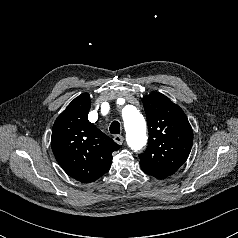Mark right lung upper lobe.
<instances>
[{
	"label": "right lung upper lobe",
	"mask_w": 238,
	"mask_h": 238,
	"mask_svg": "<svg viewBox=\"0 0 238 238\" xmlns=\"http://www.w3.org/2000/svg\"><path fill=\"white\" fill-rule=\"evenodd\" d=\"M90 97H76L56 119L51 137L53 154L72 178L90 183L105 174L112 163V152L119 149L110 137L88 121Z\"/></svg>",
	"instance_id": "cb5924a9"
}]
</instances>
